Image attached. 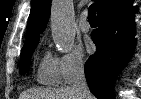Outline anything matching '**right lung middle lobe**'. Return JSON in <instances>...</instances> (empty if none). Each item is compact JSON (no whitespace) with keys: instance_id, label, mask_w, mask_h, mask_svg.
<instances>
[{"instance_id":"obj_1","label":"right lung middle lobe","mask_w":141,"mask_h":99,"mask_svg":"<svg viewBox=\"0 0 141 99\" xmlns=\"http://www.w3.org/2000/svg\"><path fill=\"white\" fill-rule=\"evenodd\" d=\"M37 43L38 42L25 44L22 48L21 57H20V73L22 75L28 73L29 71L31 55Z\"/></svg>"}]
</instances>
